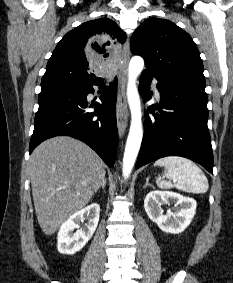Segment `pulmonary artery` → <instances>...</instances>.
<instances>
[{
    "label": "pulmonary artery",
    "mask_w": 233,
    "mask_h": 283,
    "mask_svg": "<svg viewBox=\"0 0 233 283\" xmlns=\"http://www.w3.org/2000/svg\"><path fill=\"white\" fill-rule=\"evenodd\" d=\"M152 84H153V88H154V90H155L156 95L159 97V96H160V94H159V91H158V89H157L156 82H155V81H153V82H152Z\"/></svg>",
    "instance_id": "1"
}]
</instances>
